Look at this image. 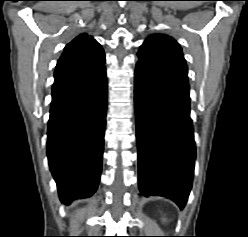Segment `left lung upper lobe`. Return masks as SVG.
I'll list each match as a JSON object with an SVG mask.
<instances>
[{
    "label": "left lung upper lobe",
    "mask_w": 248,
    "mask_h": 237,
    "mask_svg": "<svg viewBox=\"0 0 248 237\" xmlns=\"http://www.w3.org/2000/svg\"><path fill=\"white\" fill-rule=\"evenodd\" d=\"M138 57L165 75L188 82L182 49L172 37L164 34L150 35L140 46Z\"/></svg>",
    "instance_id": "obj_1"
}]
</instances>
